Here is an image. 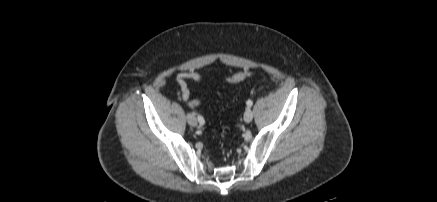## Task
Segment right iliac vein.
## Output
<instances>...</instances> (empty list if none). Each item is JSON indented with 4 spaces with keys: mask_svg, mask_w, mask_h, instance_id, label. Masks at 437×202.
I'll list each match as a JSON object with an SVG mask.
<instances>
[{
    "mask_svg": "<svg viewBox=\"0 0 437 202\" xmlns=\"http://www.w3.org/2000/svg\"><path fill=\"white\" fill-rule=\"evenodd\" d=\"M187 122L192 127H196L197 124H198L197 119H196V117H195V115L193 113H188L187 114Z\"/></svg>",
    "mask_w": 437,
    "mask_h": 202,
    "instance_id": "1",
    "label": "right iliac vein"
}]
</instances>
